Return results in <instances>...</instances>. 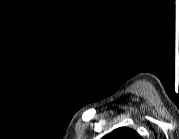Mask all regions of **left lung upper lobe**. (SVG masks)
<instances>
[{
	"mask_svg": "<svg viewBox=\"0 0 179 139\" xmlns=\"http://www.w3.org/2000/svg\"><path fill=\"white\" fill-rule=\"evenodd\" d=\"M107 139H141V137L137 134L136 131L121 127L115 129L112 133L106 136Z\"/></svg>",
	"mask_w": 179,
	"mask_h": 139,
	"instance_id": "5c2ea615",
	"label": "left lung upper lobe"
}]
</instances>
